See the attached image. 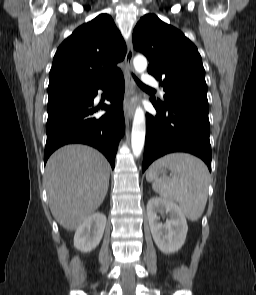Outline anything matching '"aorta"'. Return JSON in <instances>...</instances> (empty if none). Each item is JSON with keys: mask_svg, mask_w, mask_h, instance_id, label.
Here are the masks:
<instances>
[{"mask_svg": "<svg viewBox=\"0 0 256 295\" xmlns=\"http://www.w3.org/2000/svg\"><path fill=\"white\" fill-rule=\"evenodd\" d=\"M133 65L136 72L142 73L147 68V60L144 56L137 55L133 60ZM145 132H146L145 114L141 107H137L134 114L132 133H131L132 151L136 157L140 156L143 150L144 142H145Z\"/></svg>", "mask_w": 256, "mask_h": 295, "instance_id": "762f6f07", "label": "aorta"}]
</instances>
